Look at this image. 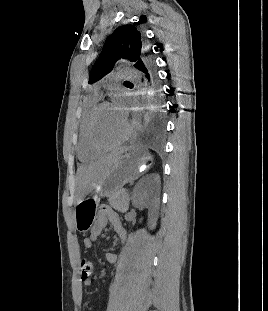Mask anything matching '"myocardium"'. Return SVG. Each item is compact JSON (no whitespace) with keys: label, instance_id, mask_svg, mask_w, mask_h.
Here are the masks:
<instances>
[{"label":"myocardium","instance_id":"myocardium-1","mask_svg":"<svg viewBox=\"0 0 268 311\" xmlns=\"http://www.w3.org/2000/svg\"><path fill=\"white\" fill-rule=\"evenodd\" d=\"M108 105H111V103L108 101H102V102L98 103L94 107V109L92 110V112H91V114L87 120L86 131H87L88 142L93 149H95L99 152L108 151V150L114 149V148L122 145L124 142H126L128 140V138L131 135V131H132L131 125L127 122L126 131H125L124 135L118 141H116L112 144H102L97 140V138L95 136V121H96L97 116L100 113V111Z\"/></svg>","mask_w":268,"mask_h":311}]
</instances>
